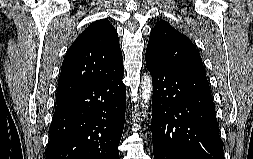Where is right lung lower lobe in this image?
Listing matches in <instances>:
<instances>
[{
    "instance_id": "1",
    "label": "right lung lower lobe",
    "mask_w": 253,
    "mask_h": 159,
    "mask_svg": "<svg viewBox=\"0 0 253 159\" xmlns=\"http://www.w3.org/2000/svg\"><path fill=\"white\" fill-rule=\"evenodd\" d=\"M124 69L58 103L46 159H119L125 121Z\"/></svg>"
}]
</instances>
